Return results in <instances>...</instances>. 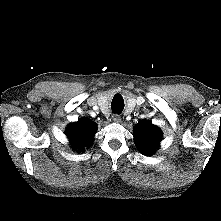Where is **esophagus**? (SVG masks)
Here are the masks:
<instances>
[{
    "label": "esophagus",
    "instance_id": "obj_1",
    "mask_svg": "<svg viewBox=\"0 0 221 221\" xmlns=\"http://www.w3.org/2000/svg\"><path fill=\"white\" fill-rule=\"evenodd\" d=\"M112 119L116 123H120L121 122V116L119 114H113Z\"/></svg>",
    "mask_w": 221,
    "mask_h": 221
}]
</instances>
